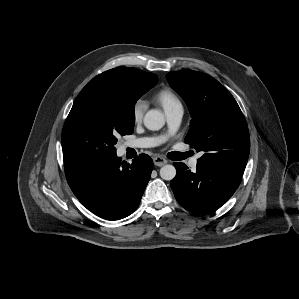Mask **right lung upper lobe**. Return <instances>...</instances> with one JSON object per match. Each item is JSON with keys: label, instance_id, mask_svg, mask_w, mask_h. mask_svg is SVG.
I'll return each mask as SVG.
<instances>
[{"label": "right lung upper lobe", "instance_id": "cb5924a9", "mask_svg": "<svg viewBox=\"0 0 299 299\" xmlns=\"http://www.w3.org/2000/svg\"><path fill=\"white\" fill-rule=\"evenodd\" d=\"M96 77L115 81L128 93H139L142 95L158 82L157 75L128 67L111 69Z\"/></svg>", "mask_w": 299, "mask_h": 299}]
</instances>
